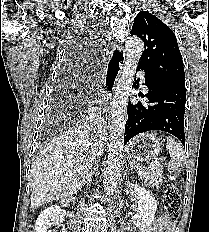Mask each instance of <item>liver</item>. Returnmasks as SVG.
<instances>
[{"mask_svg":"<svg viewBox=\"0 0 209 232\" xmlns=\"http://www.w3.org/2000/svg\"><path fill=\"white\" fill-rule=\"evenodd\" d=\"M96 139L86 125H77L51 141L32 167L31 209L74 195L95 159Z\"/></svg>","mask_w":209,"mask_h":232,"instance_id":"6515ba94","label":"liver"}]
</instances>
